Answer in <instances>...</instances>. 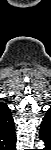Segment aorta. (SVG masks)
Segmentation results:
<instances>
[{
  "mask_svg": "<svg viewBox=\"0 0 51 150\" xmlns=\"http://www.w3.org/2000/svg\"><path fill=\"white\" fill-rule=\"evenodd\" d=\"M37 146H38V147H43V146H44V143H43L42 141H40V142L37 143Z\"/></svg>",
  "mask_w": 51,
  "mask_h": 150,
  "instance_id": "obj_1",
  "label": "aorta"
}]
</instances>
